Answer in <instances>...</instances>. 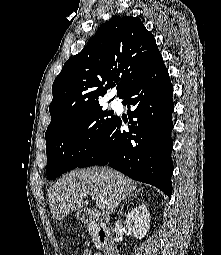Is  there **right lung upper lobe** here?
Masks as SVG:
<instances>
[{"mask_svg": "<svg viewBox=\"0 0 221 255\" xmlns=\"http://www.w3.org/2000/svg\"><path fill=\"white\" fill-rule=\"evenodd\" d=\"M160 57L154 36L139 18L113 16L79 54L64 64L55 79L46 132L72 114L99 103L113 81L118 83L117 96L121 98Z\"/></svg>", "mask_w": 221, "mask_h": 255, "instance_id": "1", "label": "right lung upper lobe"}]
</instances>
